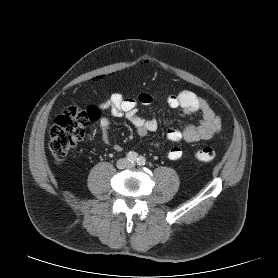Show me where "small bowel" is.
Here are the masks:
<instances>
[{
	"mask_svg": "<svg viewBox=\"0 0 278 278\" xmlns=\"http://www.w3.org/2000/svg\"><path fill=\"white\" fill-rule=\"evenodd\" d=\"M154 101L153 96L148 92H141L135 98H127L120 92L113 93L100 106V109L107 110L116 117H125L136 128L140 137L158 129L156 119H147L138 112V105H150ZM167 104L172 109H180L184 115L189 116L200 113L201 121L197 125H187L183 128L170 126L167 129V139L172 143L182 140L194 143L202 140H210L221 130V119L212 109L207 100L198 96L192 91L182 90L167 96ZM100 127L103 140L106 144L112 145L115 151H121L122 146L118 143H111L110 119L104 116L100 119ZM183 150L179 146L171 147L167 152L170 160H178L182 157Z\"/></svg>",
	"mask_w": 278,
	"mask_h": 278,
	"instance_id": "obj_1",
	"label": "small bowel"
}]
</instances>
